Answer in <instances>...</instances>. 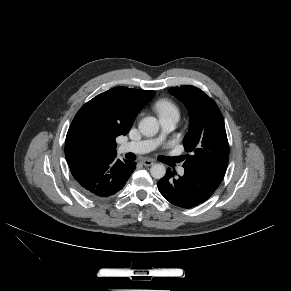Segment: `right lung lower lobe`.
Masks as SVG:
<instances>
[{"instance_id":"98d812e1","label":"right lung lower lobe","mask_w":291,"mask_h":291,"mask_svg":"<svg viewBox=\"0 0 291 291\" xmlns=\"http://www.w3.org/2000/svg\"><path fill=\"white\" fill-rule=\"evenodd\" d=\"M79 190L90 199L107 198L120 191L136 163L116 159V154L96 155L70 166Z\"/></svg>"}]
</instances>
